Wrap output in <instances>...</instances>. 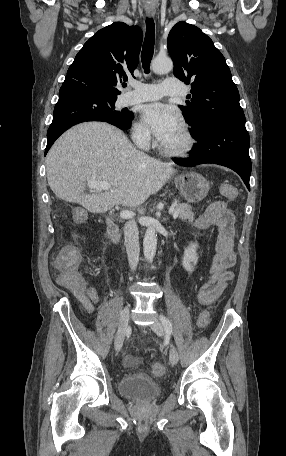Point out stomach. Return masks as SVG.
<instances>
[{
  "mask_svg": "<svg viewBox=\"0 0 286 456\" xmlns=\"http://www.w3.org/2000/svg\"><path fill=\"white\" fill-rule=\"evenodd\" d=\"M175 185L188 203H198L209 191V183L200 174L189 172L175 178Z\"/></svg>",
  "mask_w": 286,
  "mask_h": 456,
  "instance_id": "stomach-1",
  "label": "stomach"
}]
</instances>
